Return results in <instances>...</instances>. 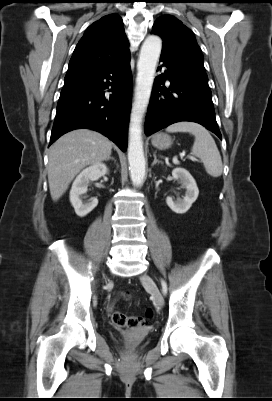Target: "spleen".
Listing matches in <instances>:
<instances>
[{
  "label": "spleen",
  "instance_id": "3e777b00",
  "mask_svg": "<svg viewBox=\"0 0 272 401\" xmlns=\"http://www.w3.org/2000/svg\"><path fill=\"white\" fill-rule=\"evenodd\" d=\"M167 132H188L195 137L192 154L201 159L207 174L219 177L223 171L222 160L217 145L210 133L201 125L182 121L166 128Z\"/></svg>",
  "mask_w": 272,
  "mask_h": 401
}]
</instances>
